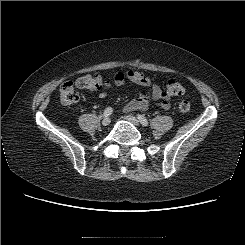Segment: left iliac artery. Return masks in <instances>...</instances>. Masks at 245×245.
<instances>
[{"label": "left iliac artery", "instance_id": "44dca946", "mask_svg": "<svg viewBox=\"0 0 245 245\" xmlns=\"http://www.w3.org/2000/svg\"><path fill=\"white\" fill-rule=\"evenodd\" d=\"M137 118L139 119L140 123L143 125V126H148V120L143 116V115H137Z\"/></svg>", "mask_w": 245, "mask_h": 245}]
</instances>
